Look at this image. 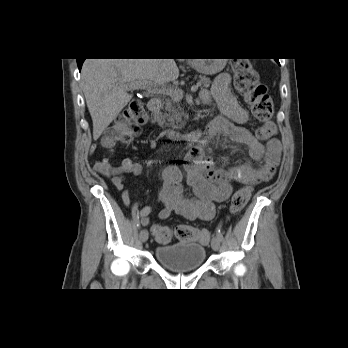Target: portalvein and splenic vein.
I'll return each mask as SVG.
<instances>
[{"mask_svg": "<svg viewBox=\"0 0 348 348\" xmlns=\"http://www.w3.org/2000/svg\"><path fill=\"white\" fill-rule=\"evenodd\" d=\"M126 87L131 89H147L148 91L156 92L159 94L167 95L175 100L179 101L183 98V90L177 87L168 86L165 84L153 83L147 80H139L126 84ZM198 90V85H193L191 87V92H196Z\"/></svg>", "mask_w": 348, "mask_h": 348, "instance_id": "portal-vein-and-splenic-vein-1", "label": "portal vein and splenic vein"}]
</instances>
